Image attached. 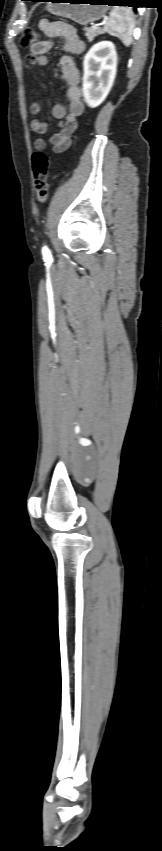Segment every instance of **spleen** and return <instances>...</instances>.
Returning <instances> with one entry per match:
<instances>
[{
	"instance_id": "obj_1",
	"label": "spleen",
	"mask_w": 162,
	"mask_h": 851,
	"mask_svg": "<svg viewBox=\"0 0 162 851\" xmlns=\"http://www.w3.org/2000/svg\"><path fill=\"white\" fill-rule=\"evenodd\" d=\"M134 15L131 8L115 6L104 24V31L118 37L125 46L132 42Z\"/></svg>"
}]
</instances>
